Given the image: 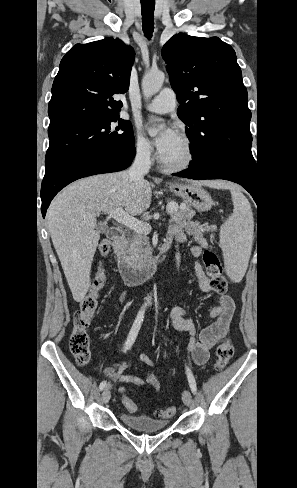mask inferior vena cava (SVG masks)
<instances>
[{"instance_id":"obj_1","label":"inferior vena cava","mask_w":297,"mask_h":488,"mask_svg":"<svg viewBox=\"0 0 297 488\" xmlns=\"http://www.w3.org/2000/svg\"><path fill=\"white\" fill-rule=\"evenodd\" d=\"M151 149L148 145H139L135 160L129 169V176L131 180L139 182L142 181L144 175L149 172L151 167Z\"/></svg>"}]
</instances>
